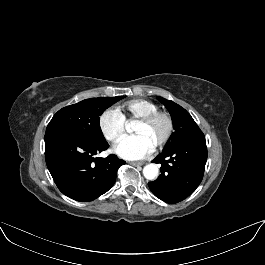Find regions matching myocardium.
Segmentation results:
<instances>
[{"instance_id": "myocardium-1", "label": "myocardium", "mask_w": 265, "mask_h": 265, "mask_svg": "<svg viewBox=\"0 0 265 265\" xmlns=\"http://www.w3.org/2000/svg\"><path fill=\"white\" fill-rule=\"evenodd\" d=\"M162 118L166 123V130L162 139L154 146V150L162 149L171 139L174 131V122L171 115L165 111H154L145 116L138 118L137 122L142 124H150L156 119Z\"/></svg>"}]
</instances>
